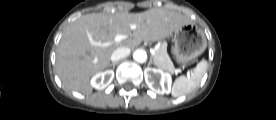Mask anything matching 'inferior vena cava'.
I'll use <instances>...</instances> for the list:
<instances>
[{
  "label": "inferior vena cava",
  "instance_id": "obj_1",
  "mask_svg": "<svg viewBox=\"0 0 276 120\" xmlns=\"http://www.w3.org/2000/svg\"><path fill=\"white\" fill-rule=\"evenodd\" d=\"M130 51L131 50L128 47L117 48L111 55V61L117 62L120 59L127 57L130 54Z\"/></svg>",
  "mask_w": 276,
  "mask_h": 120
}]
</instances>
